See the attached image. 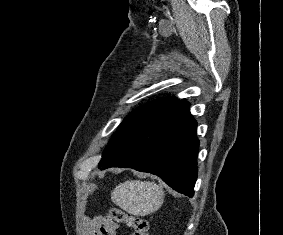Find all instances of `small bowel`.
Listing matches in <instances>:
<instances>
[{
    "label": "small bowel",
    "instance_id": "c3829d8e",
    "mask_svg": "<svg viewBox=\"0 0 283 235\" xmlns=\"http://www.w3.org/2000/svg\"><path fill=\"white\" fill-rule=\"evenodd\" d=\"M118 225L112 220L97 216L88 224V230L91 235H116Z\"/></svg>",
    "mask_w": 283,
    "mask_h": 235
}]
</instances>
